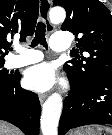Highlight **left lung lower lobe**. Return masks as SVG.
<instances>
[{
  "label": "left lung lower lobe",
  "mask_w": 112,
  "mask_h": 135,
  "mask_svg": "<svg viewBox=\"0 0 112 135\" xmlns=\"http://www.w3.org/2000/svg\"><path fill=\"white\" fill-rule=\"evenodd\" d=\"M68 77L72 90L64 101L58 134L89 124H112V74L87 82H80L70 73Z\"/></svg>",
  "instance_id": "1"
}]
</instances>
